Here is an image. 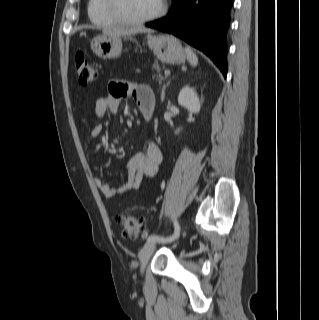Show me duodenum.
Here are the masks:
<instances>
[{"mask_svg":"<svg viewBox=\"0 0 319 320\" xmlns=\"http://www.w3.org/2000/svg\"><path fill=\"white\" fill-rule=\"evenodd\" d=\"M142 114L146 117V118H149L151 116V112L148 111V110H143L142 111Z\"/></svg>","mask_w":319,"mask_h":320,"instance_id":"1","label":"duodenum"}]
</instances>
